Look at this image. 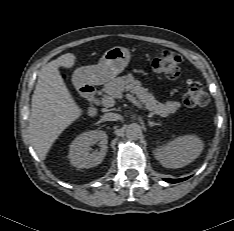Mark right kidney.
Segmentation results:
<instances>
[{
  "instance_id": "1",
  "label": "right kidney",
  "mask_w": 234,
  "mask_h": 231,
  "mask_svg": "<svg viewBox=\"0 0 234 231\" xmlns=\"http://www.w3.org/2000/svg\"><path fill=\"white\" fill-rule=\"evenodd\" d=\"M98 143L100 151L89 153L91 146ZM108 136L104 131L95 130L85 132L70 145L69 159L70 163L77 168H91L100 164L107 152Z\"/></svg>"
}]
</instances>
